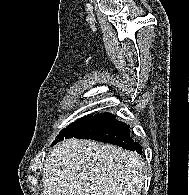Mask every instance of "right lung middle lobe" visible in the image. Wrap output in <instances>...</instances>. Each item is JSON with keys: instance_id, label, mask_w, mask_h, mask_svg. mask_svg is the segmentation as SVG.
Segmentation results:
<instances>
[{"instance_id": "dd1d6c3e", "label": "right lung middle lobe", "mask_w": 189, "mask_h": 195, "mask_svg": "<svg viewBox=\"0 0 189 195\" xmlns=\"http://www.w3.org/2000/svg\"><path fill=\"white\" fill-rule=\"evenodd\" d=\"M92 114L82 117L75 121L74 123L68 125L65 129H63L59 135L57 136L56 140L53 142V144L57 143L58 141L63 140L64 138H71L76 133H78L92 118Z\"/></svg>"}]
</instances>
